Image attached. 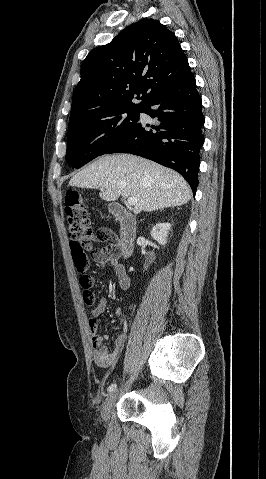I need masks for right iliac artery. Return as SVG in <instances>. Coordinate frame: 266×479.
<instances>
[{
  "mask_svg": "<svg viewBox=\"0 0 266 479\" xmlns=\"http://www.w3.org/2000/svg\"><path fill=\"white\" fill-rule=\"evenodd\" d=\"M117 385L114 383V384H111L109 387H108V391L109 392H112L116 389Z\"/></svg>",
  "mask_w": 266,
  "mask_h": 479,
  "instance_id": "right-iliac-artery-1",
  "label": "right iliac artery"
}]
</instances>
